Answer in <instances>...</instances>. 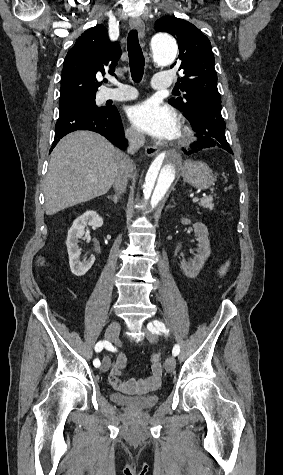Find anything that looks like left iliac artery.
<instances>
[{"label": "left iliac artery", "instance_id": "1", "mask_svg": "<svg viewBox=\"0 0 283 475\" xmlns=\"http://www.w3.org/2000/svg\"><path fill=\"white\" fill-rule=\"evenodd\" d=\"M153 323L156 327L153 326L152 323H149L148 326H147L150 331L156 332V333H158V331H161V332H164V333L169 332V330L166 329L165 325L162 322H159V321L155 320ZM179 352H180V347H179V345L176 344L173 347L172 354H173V356H177L179 354Z\"/></svg>", "mask_w": 283, "mask_h": 475}]
</instances>
